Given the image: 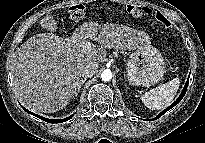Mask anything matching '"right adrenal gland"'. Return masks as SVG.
I'll use <instances>...</instances> for the list:
<instances>
[{
    "label": "right adrenal gland",
    "mask_w": 205,
    "mask_h": 143,
    "mask_svg": "<svg viewBox=\"0 0 205 143\" xmlns=\"http://www.w3.org/2000/svg\"><path fill=\"white\" fill-rule=\"evenodd\" d=\"M86 80H87V78L81 79V81H80V83H79V85L77 87V90H76V93H75V97L78 96V93L80 92V89H81L82 85L85 83Z\"/></svg>",
    "instance_id": "1"
}]
</instances>
